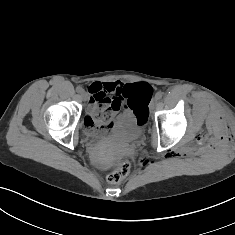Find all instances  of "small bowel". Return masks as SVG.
Returning <instances> with one entry per match:
<instances>
[{"instance_id":"1","label":"small bowel","mask_w":235,"mask_h":235,"mask_svg":"<svg viewBox=\"0 0 235 235\" xmlns=\"http://www.w3.org/2000/svg\"><path fill=\"white\" fill-rule=\"evenodd\" d=\"M130 85L133 84H124L116 81L93 82L88 86V91L91 94V98L88 105L87 117L93 116L102 110H109L111 113V121L100 129L101 132L106 133L112 129V120L120 111L121 101L124 98V91ZM124 115H129V112L126 111V114Z\"/></svg>"}]
</instances>
